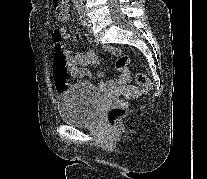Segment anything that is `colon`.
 Returning <instances> with one entry per match:
<instances>
[{
    "label": "colon",
    "mask_w": 207,
    "mask_h": 179,
    "mask_svg": "<svg viewBox=\"0 0 207 179\" xmlns=\"http://www.w3.org/2000/svg\"><path fill=\"white\" fill-rule=\"evenodd\" d=\"M53 11L57 17L62 16L68 9V4L66 0H53ZM61 34L56 31L53 33V43H54V59H53V69L57 79L58 84L61 87H65L67 85V60L62 50L61 45ZM130 63V57L127 55H123L116 62V68L120 72L126 73L128 72L127 66ZM136 82L139 87L137 89V93L140 95L148 93L152 88L151 81L142 73L137 72L135 74ZM127 112V102L122 99H118L111 106L110 110L107 114L108 123L113 125L122 119Z\"/></svg>",
    "instance_id": "1"
}]
</instances>
